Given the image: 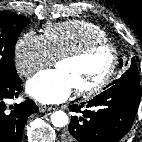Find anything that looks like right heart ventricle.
<instances>
[{
	"label": "right heart ventricle",
	"mask_w": 142,
	"mask_h": 142,
	"mask_svg": "<svg viewBox=\"0 0 142 142\" xmlns=\"http://www.w3.org/2000/svg\"><path fill=\"white\" fill-rule=\"evenodd\" d=\"M42 37L53 59L87 43L107 41V35L101 27L83 20L49 23Z\"/></svg>",
	"instance_id": "1"
}]
</instances>
